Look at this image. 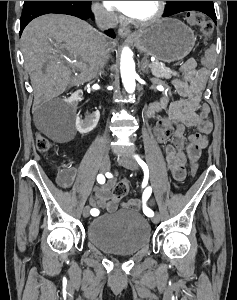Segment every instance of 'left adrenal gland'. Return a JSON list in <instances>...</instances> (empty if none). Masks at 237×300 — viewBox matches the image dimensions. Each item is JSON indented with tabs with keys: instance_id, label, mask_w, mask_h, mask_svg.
<instances>
[{
	"instance_id": "obj_1",
	"label": "left adrenal gland",
	"mask_w": 237,
	"mask_h": 300,
	"mask_svg": "<svg viewBox=\"0 0 237 300\" xmlns=\"http://www.w3.org/2000/svg\"><path fill=\"white\" fill-rule=\"evenodd\" d=\"M147 65H148V59H147V57H143V59L141 61V65H140V69H141L142 73H148Z\"/></svg>"
}]
</instances>
